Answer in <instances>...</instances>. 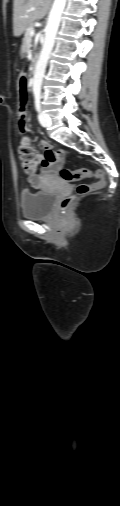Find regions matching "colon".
<instances>
[{"mask_svg": "<svg viewBox=\"0 0 120 506\" xmlns=\"http://www.w3.org/2000/svg\"><path fill=\"white\" fill-rule=\"evenodd\" d=\"M15 77L17 80H21L19 82L17 118L18 124L21 130L23 131L26 123V107H27V97L25 93V85L23 80L27 79L28 72L26 69H17L15 72ZM18 153L21 166L24 172L33 175L36 172L37 167L39 165V154L36 151V149L31 145L28 137L24 136L22 138ZM48 158L53 159L51 156H48ZM60 176L62 179L66 181H76L81 178L90 177L91 172L88 169L71 170L63 168L60 170ZM95 176L98 178V181L95 184L93 185H88L84 183L79 184L77 187V194L64 198L60 203V208L62 210H65L73 203V201L78 196H84L93 191L102 189L105 186L104 172L102 170H97Z\"/></svg>", "mask_w": 120, "mask_h": 506, "instance_id": "colon-1", "label": "colon"}]
</instances>
